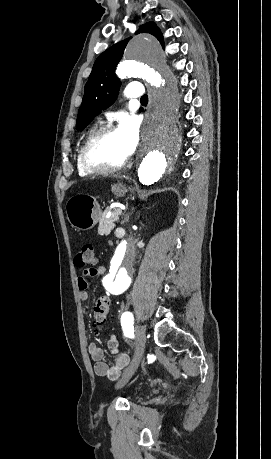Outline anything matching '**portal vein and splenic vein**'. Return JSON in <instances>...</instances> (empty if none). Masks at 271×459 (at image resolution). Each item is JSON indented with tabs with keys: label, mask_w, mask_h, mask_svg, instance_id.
Returning <instances> with one entry per match:
<instances>
[{
	"label": "portal vein and splenic vein",
	"mask_w": 271,
	"mask_h": 459,
	"mask_svg": "<svg viewBox=\"0 0 271 459\" xmlns=\"http://www.w3.org/2000/svg\"><path fill=\"white\" fill-rule=\"evenodd\" d=\"M119 217H120V214H116V216H115V219H114V220H115V221H119V220H120V219H119Z\"/></svg>",
	"instance_id": "portal-vein-and-splenic-vein-1"
}]
</instances>
